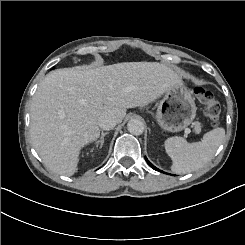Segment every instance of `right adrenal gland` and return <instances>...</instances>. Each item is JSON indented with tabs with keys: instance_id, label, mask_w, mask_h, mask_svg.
I'll list each match as a JSON object with an SVG mask.
<instances>
[{
	"instance_id": "right-adrenal-gland-1",
	"label": "right adrenal gland",
	"mask_w": 245,
	"mask_h": 245,
	"mask_svg": "<svg viewBox=\"0 0 245 245\" xmlns=\"http://www.w3.org/2000/svg\"><path fill=\"white\" fill-rule=\"evenodd\" d=\"M108 134H109V131H107V132L101 134V138H100L99 140H96V141H95L96 147L99 146V142H101L100 147H103L104 142H105L104 138H105V136L108 135Z\"/></svg>"
}]
</instances>
